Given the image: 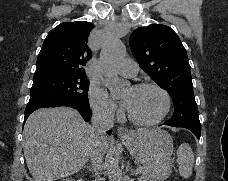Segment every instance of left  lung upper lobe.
Wrapping results in <instances>:
<instances>
[{
	"label": "left lung upper lobe",
	"instance_id": "obj_1",
	"mask_svg": "<svg viewBox=\"0 0 228 181\" xmlns=\"http://www.w3.org/2000/svg\"><path fill=\"white\" fill-rule=\"evenodd\" d=\"M141 69L171 96L174 114L165 123L174 127L201 128L193 94L191 67L181 40L166 25L136 29L129 39Z\"/></svg>",
	"mask_w": 228,
	"mask_h": 181
}]
</instances>
